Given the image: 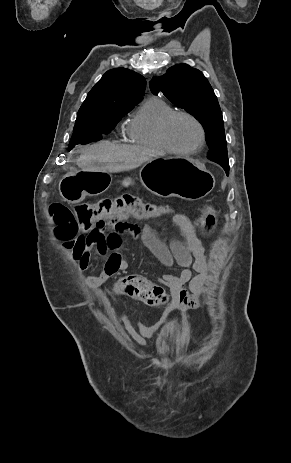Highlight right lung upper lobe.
Listing matches in <instances>:
<instances>
[{
  "label": "right lung upper lobe",
  "mask_w": 291,
  "mask_h": 463,
  "mask_svg": "<svg viewBox=\"0 0 291 463\" xmlns=\"http://www.w3.org/2000/svg\"><path fill=\"white\" fill-rule=\"evenodd\" d=\"M145 88L146 80L140 74L125 68L111 69L91 89L79 110L107 104L136 105Z\"/></svg>",
  "instance_id": "cb5924a9"
}]
</instances>
